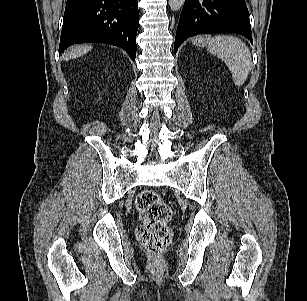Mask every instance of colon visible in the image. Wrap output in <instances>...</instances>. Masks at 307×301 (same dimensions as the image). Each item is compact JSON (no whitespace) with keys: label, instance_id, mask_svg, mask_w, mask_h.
<instances>
[{"label":"colon","instance_id":"1","mask_svg":"<svg viewBox=\"0 0 307 301\" xmlns=\"http://www.w3.org/2000/svg\"><path fill=\"white\" fill-rule=\"evenodd\" d=\"M135 207L142 222L136 230L139 242L149 253H161L172 237L171 207L153 190L141 191L135 199Z\"/></svg>","mask_w":307,"mask_h":301}]
</instances>
